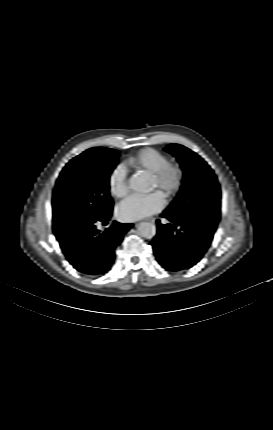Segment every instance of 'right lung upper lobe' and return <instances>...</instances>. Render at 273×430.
<instances>
[{
	"label": "right lung upper lobe",
	"instance_id": "1",
	"mask_svg": "<svg viewBox=\"0 0 273 430\" xmlns=\"http://www.w3.org/2000/svg\"><path fill=\"white\" fill-rule=\"evenodd\" d=\"M94 149H98V150H101L103 152H109V150H113V149H108V148H103V147H96Z\"/></svg>",
	"mask_w": 273,
	"mask_h": 430
}]
</instances>
